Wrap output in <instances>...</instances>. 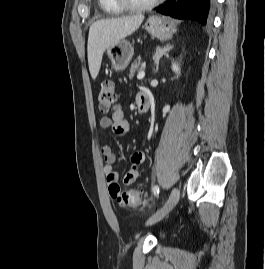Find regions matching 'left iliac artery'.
Returning <instances> with one entry per match:
<instances>
[{
	"label": "left iliac artery",
	"mask_w": 265,
	"mask_h": 269,
	"mask_svg": "<svg viewBox=\"0 0 265 269\" xmlns=\"http://www.w3.org/2000/svg\"><path fill=\"white\" fill-rule=\"evenodd\" d=\"M153 193L155 196H158L159 195V186L158 185H155L153 187Z\"/></svg>",
	"instance_id": "44dca946"
}]
</instances>
